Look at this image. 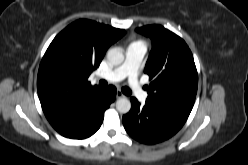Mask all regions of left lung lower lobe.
Instances as JSON below:
<instances>
[{
	"instance_id": "left-lung-lower-lobe-1",
	"label": "left lung lower lobe",
	"mask_w": 248,
	"mask_h": 165,
	"mask_svg": "<svg viewBox=\"0 0 248 165\" xmlns=\"http://www.w3.org/2000/svg\"><path fill=\"white\" fill-rule=\"evenodd\" d=\"M189 115L146 100L142 107L131 98V110L123 116L127 133L139 142L155 144L177 133Z\"/></svg>"
}]
</instances>
